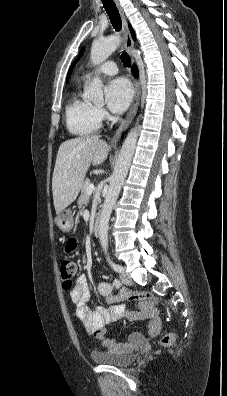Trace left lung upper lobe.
<instances>
[{
    "instance_id": "5c2ea615",
    "label": "left lung upper lobe",
    "mask_w": 227,
    "mask_h": 396,
    "mask_svg": "<svg viewBox=\"0 0 227 396\" xmlns=\"http://www.w3.org/2000/svg\"><path fill=\"white\" fill-rule=\"evenodd\" d=\"M82 52H83V50H81L80 55L78 56V59H77V60L80 59V57H81V55H82ZM76 62H77V61H75V62L72 64V66L70 67V69H69V71H68V74H67V81H68V79H69V77H70V75H71V73H72V69H73V67L75 66Z\"/></svg>"
}]
</instances>
